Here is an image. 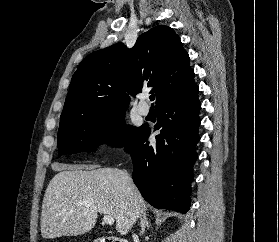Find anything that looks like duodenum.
Listing matches in <instances>:
<instances>
[{
    "label": "duodenum",
    "instance_id": "obj_1",
    "mask_svg": "<svg viewBox=\"0 0 279 242\" xmlns=\"http://www.w3.org/2000/svg\"><path fill=\"white\" fill-rule=\"evenodd\" d=\"M97 242H127L121 238L114 237H100Z\"/></svg>",
    "mask_w": 279,
    "mask_h": 242
}]
</instances>
